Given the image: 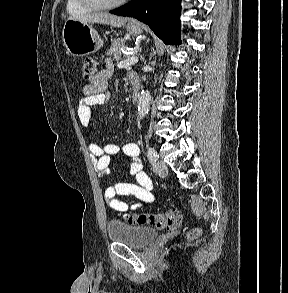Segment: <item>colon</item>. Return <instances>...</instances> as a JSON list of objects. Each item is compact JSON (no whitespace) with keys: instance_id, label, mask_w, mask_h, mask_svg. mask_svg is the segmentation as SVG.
Segmentation results:
<instances>
[{"instance_id":"1","label":"colon","mask_w":288,"mask_h":293,"mask_svg":"<svg viewBox=\"0 0 288 293\" xmlns=\"http://www.w3.org/2000/svg\"><path fill=\"white\" fill-rule=\"evenodd\" d=\"M99 65L93 58H86L83 61L82 72L86 80H92L98 74ZM125 218L129 223L145 225L150 224L159 229H172L180 225L182 221V213L177 209H171L161 214H126ZM200 231L198 229L189 232L190 239L198 237Z\"/></svg>"}]
</instances>
